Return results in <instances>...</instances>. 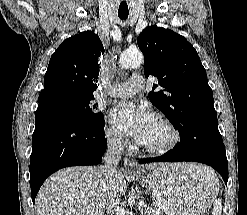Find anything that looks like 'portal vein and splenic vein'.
Instances as JSON below:
<instances>
[{
    "mask_svg": "<svg viewBox=\"0 0 247 215\" xmlns=\"http://www.w3.org/2000/svg\"><path fill=\"white\" fill-rule=\"evenodd\" d=\"M139 206L144 207L145 205L140 203ZM115 212H116V215H125V210H124V208H117V209L115 210Z\"/></svg>",
    "mask_w": 247,
    "mask_h": 215,
    "instance_id": "obj_1",
    "label": "portal vein and splenic vein"
}]
</instances>
